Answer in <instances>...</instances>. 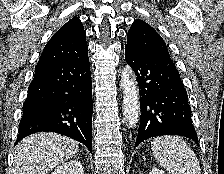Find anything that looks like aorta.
Wrapping results in <instances>:
<instances>
[{
	"label": "aorta",
	"instance_id": "1",
	"mask_svg": "<svg viewBox=\"0 0 224 174\" xmlns=\"http://www.w3.org/2000/svg\"><path fill=\"white\" fill-rule=\"evenodd\" d=\"M123 113L129 127H134L140 115L139 89L133 70L127 65L122 70Z\"/></svg>",
	"mask_w": 224,
	"mask_h": 174
}]
</instances>
